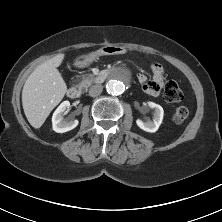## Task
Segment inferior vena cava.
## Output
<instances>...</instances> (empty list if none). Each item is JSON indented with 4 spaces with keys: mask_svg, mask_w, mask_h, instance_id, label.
Here are the masks:
<instances>
[{
    "mask_svg": "<svg viewBox=\"0 0 222 222\" xmlns=\"http://www.w3.org/2000/svg\"><path fill=\"white\" fill-rule=\"evenodd\" d=\"M102 90H103V86L102 85H100V84L93 85L89 89V95L91 97L98 96V95H100L102 93Z\"/></svg>",
    "mask_w": 222,
    "mask_h": 222,
    "instance_id": "inferior-vena-cava-1",
    "label": "inferior vena cava"
}]
</instances>
